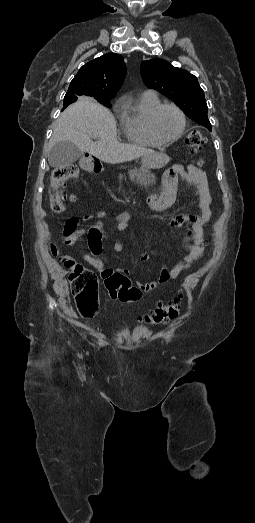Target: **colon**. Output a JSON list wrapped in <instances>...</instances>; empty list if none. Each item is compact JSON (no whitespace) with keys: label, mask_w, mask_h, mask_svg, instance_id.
I'll list each match as a JSON object with an SVG mask.
<instances>
[{"label":"colon","mask_w":255,"mask_h":523,"mask_svg":"<svg viewBox=\"0 0 255 523\" xmlns=\"http://www.w3.org/2000/svg\"><path fill=\"white\" fill-rule=\"evenodd\" d=\"M205 142V137L197 129L188 132L185 143L194 150H199ZM78 168L75 165H64L53 170L51 176L50 204L54 212L62 213L66 207L64 204L63 187L69 180L78 177ZM72 200L74 196L71 197ZM51 253L58 257L69 269V281L72 294L77 308L83 317H92L98 311V281L95 273L72 257L60 252L59 247L52 243ZM105 286L112 299L124 302H137L142 298V290L133 286L130 280L123 274L111 273L104 277ZM180 310V299H175L157 305L155 310L145 317L146 321L154 324L166 323L178 317Z\"/></svg>","instance_id":"1"}]
</instances>
